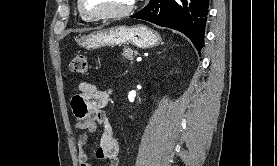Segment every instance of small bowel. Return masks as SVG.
Returning <instances> with one entry per match:
<instances>
[{
    "instance_id": "1",
    "label": "small bowel",
    "mask_w": 277,
    "mask_h": 166,
    "mask_svg": "<svg viewBox=\"0 0 277 166\" xmlns=\"http://www.w3.org/2000/svg\"><path fill=\"white\" fill-rule=\"evenodd\" d=\"M80 93L72 98L71 106L75 116V126L80 130L77 137L78 161L80 166H91L87 155L89 136L98 125L103 128L100 143L95 151L98 160H107L108 166L119 165V144L107 120L104 108L109 102L110 92L99 90L93 84L83 82Z\"/></svg>"
}]
</instances>
